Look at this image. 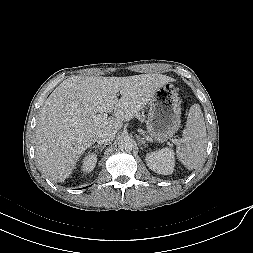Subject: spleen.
Instances as JSON below:
<instances>
[{"instance_id": "obj_1", "label": "spleen", "mask_w": 253, "mask_h": 253, "mask_svg": "<svg viewBox=\"0 0 253 253\" xmlns=\"http://www.w3.org/2000/svg\"><path fill=\"white\" fill-rule=\"evenodd\" d=\"M176 155L189 170L202 166L207 146L206 126L199 104L190 107Z\"/></svg>"}]
</instances>
